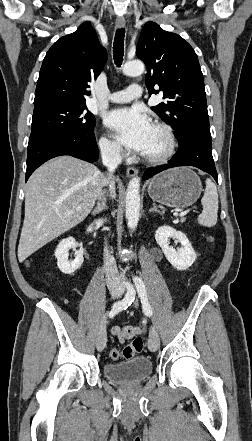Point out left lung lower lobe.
<instances>
[{"instance_id":"obj_1","label":"left lung lower lobe","mask_w":252,"mask_h":441,"mask_svg":"<svg viewBox=\"0 0 252 441\" xmlns=\"http://www.w3.org/2000/svg\"><path fill=\"white\" fill-rule=\"evenodd\" d=\"M194 166L209 173L218 182V175L212 157L210 131L193 130L179 142V149L165 165L152 167L145 171L143 180L177 166Z\"/></svg>"}]
</instances>
